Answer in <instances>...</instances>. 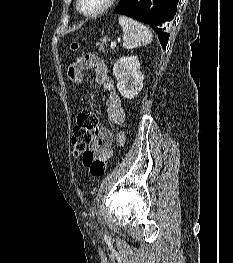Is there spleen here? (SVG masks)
<instances>
[{"label":"spleen","mask_w":233,"mask_h":263,"mask_svg":"<svg viewBox=\"0 0 233 263\" xmlns=\"http://www.w3.org/2000/svg\"><path fill=\"white\" fill-rule=\"evenodd\" d=\"M118 22L123 30L125 49H133L151 43L152 34L145 25L126 16H119Z\"/></svg>","instance_id":"1"}]
</instances>
